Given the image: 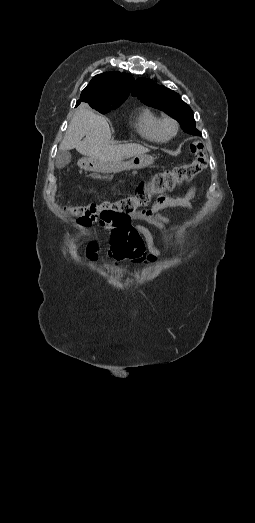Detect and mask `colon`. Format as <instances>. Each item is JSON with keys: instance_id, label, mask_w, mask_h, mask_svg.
I'll list each match as a JSON object with an SVG mask.
<instances>
[{"instance_id": "obj_1", "label": "colon", "mask_w": 255, "mask_h": 523, "mask_svg": "<svg viewBox=\"0 0 255 523\" xmlns=\"http://www.w3.org/2000/svg\"><path fill=\"white\" fill-rule=\"evenodd\" d=\"M190 151L194 155L192 162L157 173L150 180L140 182L131 195L116 201L68 206L66 209L85 225L100 220L105 224L122 226L132 213L148 208L154 198L158 201L164 199L173 188L191 181L207 167V157L201 142H192Z\"/></svg>"}]
</instances>
